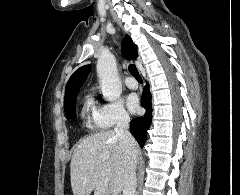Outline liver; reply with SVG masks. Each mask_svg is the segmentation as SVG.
Returning a JSON list of instances; mask_svg holds the SVG:
<instances>
[{
  "instance_id": "1",
  "label": "liver",
  "mask_w": 240,
  "mask_h": 195,
  "mask_svg": "<svg viewBox=\"0 0 240 195\" xmlns=\"http://www.w3.org/2000/svg\"><path fill=\"white\" fill-rule=\"evenodd\" d=\"M138 143L126 145L113 129L88 135L75 147L70 163L74 195L121 193L137 159Z\"/></svg>"
}]
</instances>
